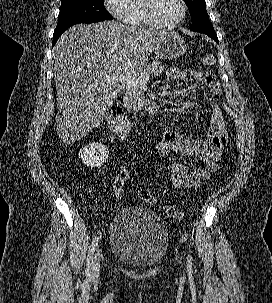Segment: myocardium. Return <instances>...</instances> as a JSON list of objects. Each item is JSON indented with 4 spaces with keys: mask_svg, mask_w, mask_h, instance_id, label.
<instances>
[{
    "mask_svg": "<svg viewBox=\"0 0 272 303\" xmlns=\"http://www.w3.org/2000/svg\"><path fill=\"white\" fill-rule=\"evenodd\" d=\"M178 1L181 6V14H180L179 18L171 24H162L157 20V18L155 16L154 8H155L156 0H144V4H143L144 15H145V18H146V21L148 22V24L151 27L159 29V30H170V29H174L175 27L180 25L186 17L187 4H186L185 0H178Z\"/></svg>",
    "mask_w": 272,
    "mask_h": 303,
    "instance_id": "myocardium-1",
    "label": "myocardium"
}]
</instances>
